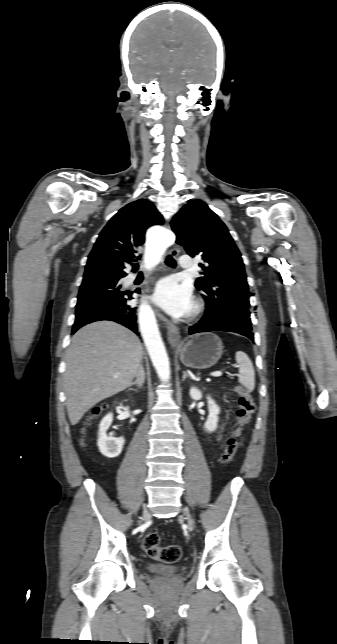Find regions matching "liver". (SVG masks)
I'll list each match as a JSON object with an SVG mask.
<instances>
[{"label":"liver","mask_w":337,"mask_h":644,"mask_svg":"<svg viewBox=\"0 0 337 644\" xmlns=\"http://www.w3.org/2000/svg\"><path fill=\"white\" fill-rule=\"evenodd\" d=\"M142 353L139 338L115 322H94L73 335L64 373L72 425L94 405L130 386L139 370Z\"/></svg>","instance_id":"obj_1"}]
</instances>
